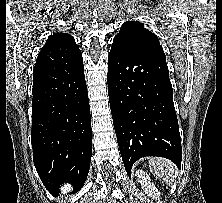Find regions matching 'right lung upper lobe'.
<instances>
[{
    "label": "right lung upper lobe",
    "instance_id": "right-lung-upper-lobe-1",
    "mask_svg": "<svg viewBox=\"0 0 222 203\" xmlns=\"http://www.w3.org/2000/svg\"><path fill=\"white\" fill-rule=\"evenodd\" d=\"M80 61H82V54L74 38L66 33H54L48 37L39 52L34 69Z\"/></svg>",
    "mask_w": 222,
    "mask_h": 203
}]
</instances>
